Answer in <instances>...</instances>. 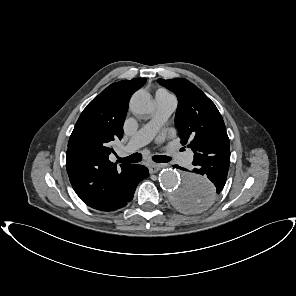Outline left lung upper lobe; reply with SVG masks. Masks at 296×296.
I'll return each instance as SVG.
<instances>
[{"label":"left lung upper lobe","instance_id":"1","mask_svg":"<svg viewBox=\"0 0 296 296\" xmlns=\"http://www.w3.org/2000/svg\"><path fill=\"white\" fill-rule=\"evenodd\" d=\"M158 82L178 98L175 122L181 144H188L194 159L230 154L226 127L215 104L186 79H158Z\"/></svg>","mask_w":296,"mask_h":296}]
</instances>
